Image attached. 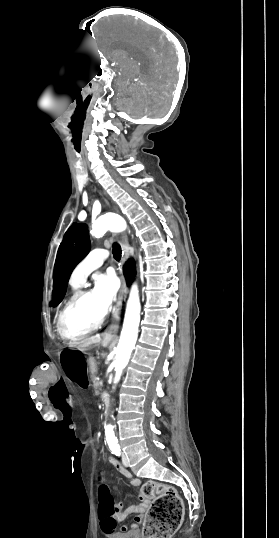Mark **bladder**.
Segmentation results:
<instances>
[{"label":"bladder","instance_id":"1","mask_svg":"<svg viewBox=\"0 0 279 538\" xmlns=\"http://www.w3.org/2000/svg\"><path fill=\"white\" fill-rule=\"evenodd\" d=\"M107 538H139L138 532H108Z\"/></svg>","mask_w":279,"mask_h":538}]
</instances>
